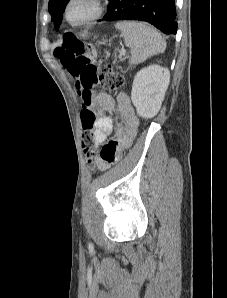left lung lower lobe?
Masks as SVG:
<instances>
[{
  "label": "left lung lower lobe",
  "mask_w": 227,
  "mask_h": 298,
  "mask_svg": "<svg viewBox=\"0 0 227 298\" xmlns=\"http://www.w3.org/2000/svg\"><path fill=\"white\" fill-rule=\"evenodd\" d=\"M175 0H110L107 14L100 21H147L165 34H176Z\"/></svg>",
  "instance_id": "obj_1"
}]
</instances>
